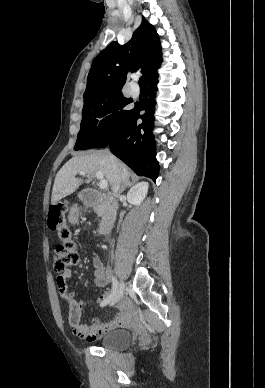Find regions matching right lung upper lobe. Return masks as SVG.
<instances>
[{
	"mask_svg": "<svg viewBox=\"0 0 265 388\" xmlns=\"http://www.w3.org/2000/svg\"><path fill=\"white\" fill-rule=\"evenodd\" d=\"M161 56L159 36L143 17L129 42L124 45L112 42L95 58L84 99L101 91L122 89L129 72L140 70L149 81L158 75Z\"/></svg>",
	"mask_w": 265,
	"mask_h": 388,
	"instance_id": "1",
	"label": "right lung upper lobe"
}]
</instances>
